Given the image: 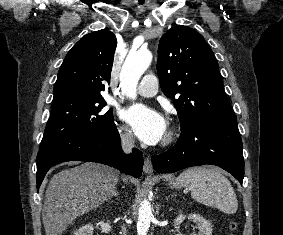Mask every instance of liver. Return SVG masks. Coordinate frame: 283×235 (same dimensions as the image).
Listing matches in <instances>:
<instances>
[{
	"mask_svg": "<svg viewBox=\"0 0 283 235\" xmlns=\"http://www.w3.org/2000/svg\"><path fill=\"white\" fill-rule=\"evenodd\" d=\"M118 180L117 170L93 162L55 174L48 184L42 210L46 235H61L73 220L101 205Z\"/></svg>",
	"mask_w": 283,
	"mask_h": 235,
	"instance_id": "liver-1",
	"label": "liver"
}]
</instances>
